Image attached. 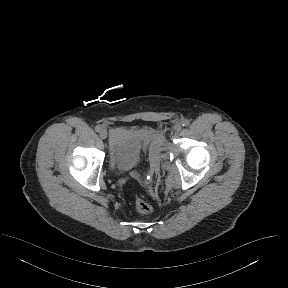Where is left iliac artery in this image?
Returning a JSON list of instances; mask_svg holds the SVG:
<instances>
[{
    "label": "left iliac artery",
    "mask_w": 288,
    "mask_h": 288,
    "mask_svg": "<svg viewBox=\"0 0 288 288\" xmlns=\"http://www.w3.org/2000/svg\"><path fill=\"white\" fill-rule=\"evenodd\" d=\"M189 124H190V120H188V119H185V120L182 121V125L184 127L188 126Z\"/></svg>",
    "instance_id": "obj_1"
}]
</instances>
